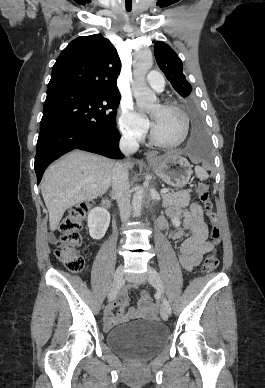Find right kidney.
Segmentation results:
<instances>
[{"label": "right kidney", "mask_w": 265, "mask_h": 388, "mask_svg": "<svg viewBox=\"0 0 265 388\" xmlns=\"http://www.w3.org/2000/svg\"><path fill=\"white\" fill-rule=\"evenodd\" d=\"M110 224V214L104 208H93L88 214L89 234L93 240H101Z\"/></svg>", "instance_id": "obj_1"}]
</instances>
